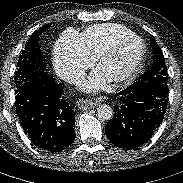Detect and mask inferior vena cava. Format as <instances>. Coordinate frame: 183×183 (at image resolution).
Masks as SVG:
<instances>
[{"instance_id": "obj_1", "label": "inferior vena cava", "mask_w": 183, "mask_h": 183, "mask_svg": "<svg viewBox=\"0 0 183 183\" xmlns=\"http://www.w3.org/2000/svg\"><path fill=\"white\" fill-rule=\"evenodd\" d=\"M82 75H83V73L81 71H74V72L69 74L68 81L71 83L78 82V81H80V77Z\"/></svg>"}]
</instances>
